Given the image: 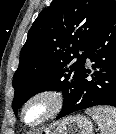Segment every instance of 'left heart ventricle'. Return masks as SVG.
<instances>
[{
	"instance_id": "left-heart-ventricle-1",
	"label": "left heart ventricle",
	"mask_w": 116,
	"mask_h": 134,
	"mask_svg": "<svg viewBox=\"0 0 116 134\" xmlns=\"http://www.w3.org/2000/svg\"><path fill=\"white\" fill-rule=\"evenodd\" d=\"M46 110L44 103L33 104L26 112V119L28 122H34L39 119Z\"/></svg>"
}]
</instances>
